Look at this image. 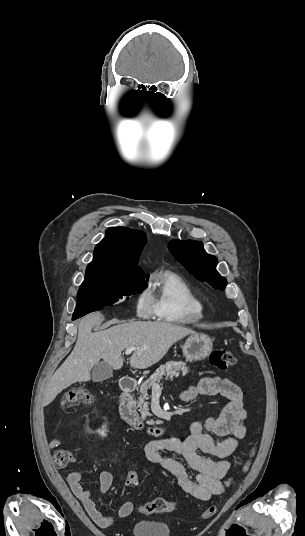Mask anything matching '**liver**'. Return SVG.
Segmentation results:
<instances>
[{
  "label": "liver",
  "mask_w": 305,
  "mask_h": 536,
  "mask_svg": "<svg viewBox=\"0 0 305 536\" xmlns=\"http://www.w3.org/2000/svg\"><path fill=\"white\" fill-rule=\"evenodd\" d=\"M103 320L104 316L100 312H93L81 318L75 348L47 384L43 406L51 404L57 394L75 382H89L90 372L100 360H104L113 370H121L123 366L121 352L126 348H137L129 358L130 366L145 370L159 362L175 342L182 340L188 334H196L188 328H181L169 322H132V320L129 324L110 320L108 326L111 324L118 326L92 334L94 326H99Z\"/></svg>",
  "instance_id": "6515ba94"
}]
</instances>
